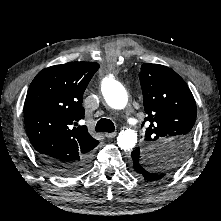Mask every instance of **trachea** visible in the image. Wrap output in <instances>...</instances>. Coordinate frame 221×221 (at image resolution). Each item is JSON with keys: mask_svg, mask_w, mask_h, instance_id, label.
Wrapping results in <instances>:
<instances>
[{"mask_svg": "<svg viewBox=\"0 0 221 221\" xmlns=\"http://www.w3.org/2000/svg\"><path fill=\"white\" fill-rule=\"evenodd\" d=\"M115 130V126L114 123L107 118L104 119H100L95 127V131L97 132H108V133H112Z\"/></svg>", "mask_w": 221, "mask_h": 221, "instance_id": "obj_1", "label": "trachea"}]
</instances>
